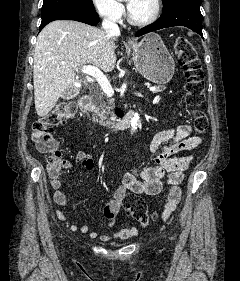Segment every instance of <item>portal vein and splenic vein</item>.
<instances>
[{"label":"portal vein and splenic vein","mask_w":240,"mask_h":281,"mask_svg":"<svg viewBox=\"0 0 240 281\" xmlns=\"http://www.w3.org/2000/svg\"><path fill=\"white\" fill-rule=\"evenodd\" d=\"M82 73H85L87 75H90L96 79V81L99 83L101 89L103 92L108 96L112 97L114 95V90L106 78V76L97 68L94 66H83L81 69ZM150 91H155L157 88L155 86L148 87Z\"/></svg>","instance_id":"portal-vein-and-splenic-vein-1"}]
</instances>
